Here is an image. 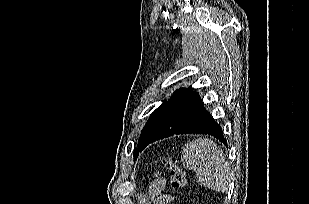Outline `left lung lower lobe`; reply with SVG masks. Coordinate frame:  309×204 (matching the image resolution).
Returning <instances> with one entry per match:
<instances>
[{"instance_id":"1","label":"left lung lower lobe","mask_w":309,"mask_h":204,"mask_svg":"<svg viewBox=\"0 0 309 204\" xmlns=\"http://www.w3.org/2000/svg\"><path fill=\"white\" fill-rule=\"evenodd\" d=\"M175 134H208L227 146L220 125L204 108L197 92H192L175 102L159 116L144 137L140 151L156 140Z\"/></svg>"}]
</instances>
